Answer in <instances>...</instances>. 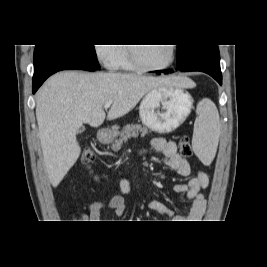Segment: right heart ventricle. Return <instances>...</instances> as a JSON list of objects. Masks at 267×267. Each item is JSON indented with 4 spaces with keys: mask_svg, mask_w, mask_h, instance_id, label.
<instances>
[{
    "mask_svg": "<svg viewBox=\"0 0 267 267\" xmlns=\"http://www.w3.org/2000/svg\"><path fill=\"white\" fill-rule=\"evenodd\" d=\"M116 68L123 70H134L136 69L128 59V53L126 48H119V53L116 60Z\"/></svg>",
    "mask_w": 267,
    "mask_h": 267,
    "instance_id": "1",
    "label": "right heart ventricle"
}]
</instances>
